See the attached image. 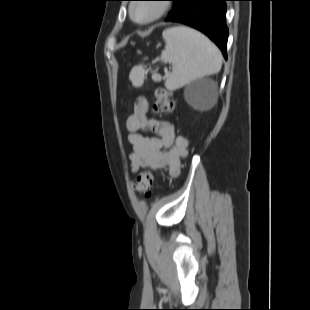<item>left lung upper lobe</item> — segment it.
<instances>
[{"label": "left lung upper lobe", "mask_w": 310, "mask_h": 310, "mask_svg": "<svg viewBox=\"0 0 310 310\" xmlns=\"http://www.w3.org/2000/svg\"><path fill=\"white\" fill-rule=\"evenodd\" d=\"M174 2L172 11L169 14L168 21H172L182 10L186 0H170Z\"/></svg>", "instance_id": "5c2ea615"}]
</instances>
